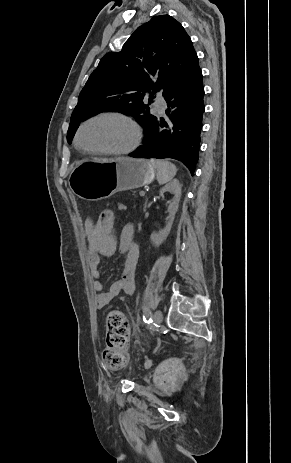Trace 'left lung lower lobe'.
<instances>
[{
    "label": "left lung lower lobe",
    "mask_w": 291,
    "mask_h": 463,
    "mask_svg": "<svg viewBox=\"0 0 291 463\" xmlns=\"http://www.w3.org/2000/svg\"><path fill=\"white\" fill-rule=\"evenodd\" d=\"M203 97L199 67L164 96L167 117L153 119L144 133L142 145L129 156L176 159L193 175L199 159L205 111Z\"/></svg>",
    "instance_id": "left-lung-lower-lobe-1"
}]
</instances>
